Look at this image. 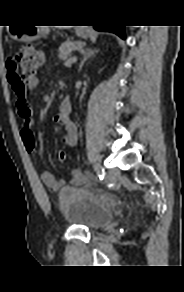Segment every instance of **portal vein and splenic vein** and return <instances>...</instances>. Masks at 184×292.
Wrapping results in <instances>:
<instances>
[{
	"mask_svg": "<svg viewBox=\"0 0 184 292\" xmlns=\"http://www.w3.org/2000/svg\"><path fill=\"white\" fill-rule=\"evenodd\" d=\"M76 61H77V57H71V58L65 60L64 65L66 67H69V66H71Z\"/></svg>",
	"mask_w": 184,
	"mask_h": 292,
	"instance_id": "18ae733b",
	"label": "portal vein and splenic vein"
}]
</instances>
